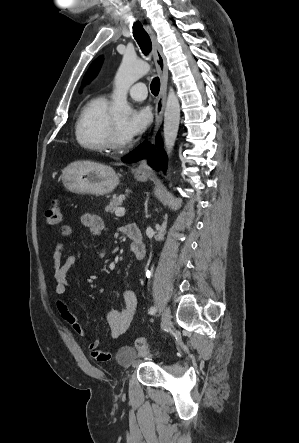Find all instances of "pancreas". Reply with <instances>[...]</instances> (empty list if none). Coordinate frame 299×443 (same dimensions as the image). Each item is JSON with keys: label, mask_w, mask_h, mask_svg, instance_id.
Masks as SVG:
<instances>
[{"label": "pancreas", "mask_w": 299, "mask_h": 443, "mask_svg": "<svg viewBox=\"0 0 299 443\" xmlns=\"http://www.w3.org/2000/svg\"><path fill=\"white\" fill-rule=\"evenodd\" d=\"M123 202V195H114L109 204L105 207L106 212L114 213Z\"/></svg>", "instance_id": "cf45deb5"}]
</instances>
